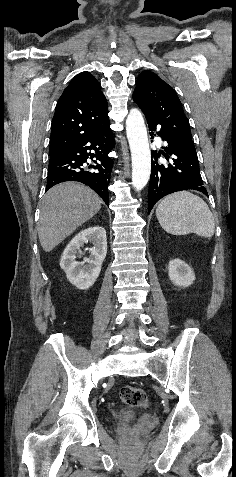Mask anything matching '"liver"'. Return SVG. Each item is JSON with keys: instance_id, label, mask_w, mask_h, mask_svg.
Masks as SVG:
<instances>
[{"instance_id": "6515ba94", "label": "liver", "mask_w": 236, "mask_h": 477, "mask_svg": "<svg viewBox=\"0 0 236 477\" xmlns=\"http://www.w3.org/2000/svg\"><path fill=\"white\" fill-rule=\"evenodd\" d=\"M100 208V197L82 184L65 182L51 188L40 208L38 237L43 250L52 251Z\"/></svg>"}]
</instances>
